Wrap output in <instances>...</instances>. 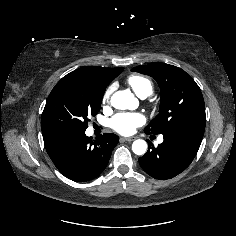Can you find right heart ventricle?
<instances>
[{"mask_svg": "<svg viewBox=\"0 0 236 236\" xmlns=\"http://www.w3.org/2000/svg\"><path fill=\"white\" fill-rule=\"evenodd\" d=\"M127 84L141 98H145L153 92L152 82L142 75L129 76L127 78Z\"/></svg>", "mask_w": 236, "mask_h": 236, "instance_id": "e07e8e85", "label": "right heart ventricle"}]
</instances>
